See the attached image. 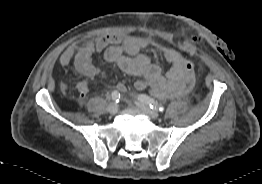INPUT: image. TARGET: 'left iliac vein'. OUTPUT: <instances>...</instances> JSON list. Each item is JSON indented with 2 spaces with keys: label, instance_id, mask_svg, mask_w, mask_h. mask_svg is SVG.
<instances>
[{
  "label": "left iliac vein",
  "instance_id": "1",
  "mask_svg": "<svg viewBox=\"0 0 262 184\" xmlns=\"http://www.w3.org/2000/svg\"><path fill=\"white\" fill-rule=\"evenodd\" d=\"M136 104L144 113H146L152 119H158L159 118V114L155 110H152L148 105H146L142 102H139V101L136 102Z\"/></svg>",
  "mask_w": 262,
  "mask_h": 184
}]
</instances>
